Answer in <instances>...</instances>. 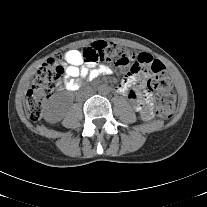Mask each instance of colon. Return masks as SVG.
I'll return each instance as SVG.
<instances>
[{
    "label": "colon",
    "mask_w": 207,
    "mask_h": 207,
    "mask_svg": "<svg viewBox=\"0 0 207 207\" xmlns=\"http://www.w3.org/2000/svg\"><path fill=\"white\" fill-rule=\"evenodd\" d=\"M86 63L97 64L111 62L116 66L128 68L132 72L147 70L152 77L147 82L149 91L155 93L156 113L163 119H169L176 107L175 94L171 80L162 62L155 60L148 53L126 51L123 47L105 41H97L83 49ZM64 72L63 54L58 53L48 59L37 71L33 83L26 94V113L33 120H39L44 111L46 101L53 94V90Z\"/></svg>",
    "instance_id": "colon-1"
}]
</instances>
